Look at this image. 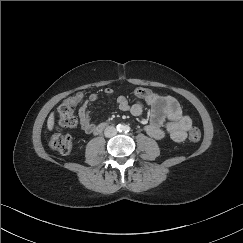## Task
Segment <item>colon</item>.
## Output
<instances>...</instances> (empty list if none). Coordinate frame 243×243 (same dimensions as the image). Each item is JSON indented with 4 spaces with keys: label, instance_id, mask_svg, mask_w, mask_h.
Masks as SVG:
<instances>
[{
    "label": "colon",
    "instance_id": "1",
    "mask_svg": "<svg viewBox=\"0 0 243 243\" xmlns=\"http://www.w3.org/2000/svg\"><path fill=\"white\" fill-rule=\"evenodd\" d=\"M138 93H143L142 90H138ZM81 95H76L66 98L58 108L59 122L65 127H75L77 124V119L74 114V106L80 101ZM201 138V131L197 127H192L189 130V139L193 142L199 141ZM50 146L61 154H68L72 151V141L71 138L60 132V130H55L49 138Z\"/></svg>",
    "mask_w": 243,
    "mask_h": 243
}]
</instances>
